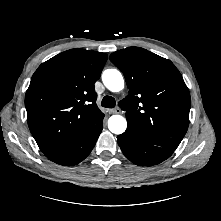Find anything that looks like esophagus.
I'll return each instance as SVG.
<instances>
[{
	"mask_svg": "<svg viewBox=\"0 0 221 221\" xmlns=\"http://www.w3.org/2000/svg\"><path fill=\"white\" fill-rule=\"evenodd\" d=\"M107 112L109 114H118V113H120V109L119 108L108 109Z\"/></svg>",
	"mask_w": 221,
	"mask_h": 221,
	"instance_id": "34e87169",
	"label": "esophagus"
}]
</instances>
